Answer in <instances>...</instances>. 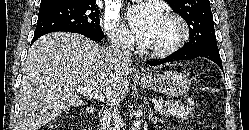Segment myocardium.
I'll list each match as a JSON object with an SVG mask.
<instances>
[{
  "instance_id": "1",
  "label": "myocardium",
  "mask_w": 249,
  "mask_h": 130,
  "mask_svg": "<svg viewBox=\"0 0 249 130\" xmlns=\"http://www.w3.org/2000/svg\"><path fill=\"white\" fill-rule=\"evenodd\" d=\"M164 16L168 19L173 20L177 24L179 29V34L171 44L165 47L158 49L144 47L143 48L144 52L153 58H164L174 54L184 46V44L188 41L190 36L189 27L186 21L179 14L172 11H167L164 13Z\"/></svg>"
}]
</instances>
